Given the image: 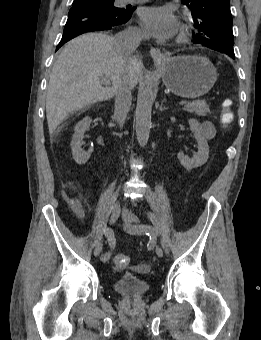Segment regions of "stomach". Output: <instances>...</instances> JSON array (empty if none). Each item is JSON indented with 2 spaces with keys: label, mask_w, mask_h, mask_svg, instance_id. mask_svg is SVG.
<instances>
[{
  "label": "stomach",
  "mask_w": 261,
  "mask_h": 340,
  "mask_svg": "<svg viewBox=\"0 0 261 340\" xmlns=\"http://www.w3.org/2000/svg\"><path fill=\"white\" fill-rule=\"evenodd\" d=\"M164 85L175 95L198 98L210 91L217 72L209 59L202 56H177L155 62Z\"/></svg>",
  "instance_id": "1"
}]
</instances>
